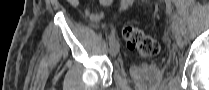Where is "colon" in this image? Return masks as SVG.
Returning a JSON list of instances; mask_svg holds the SVG:
<instances>
[{
    "label": "colon",
    "instance_id": "5ec220e1",
    "mask_svg": "<svg viewBox=\"0 0 209 90\" xmlns=\"http://www.w3.org/2000/svg\"><path fill=\"white\" fill-rule=\"evenodd\" d=\"M122 35L128 48L136 50L143 57H152L159 52L157 40L135 26L125 25L122 28Z\"/></svg>",
    "mask_w": 209,
    "mask_h": 90
}]
</instances>
